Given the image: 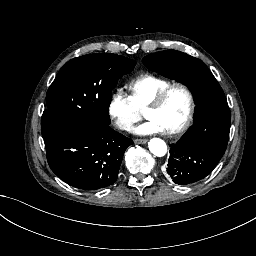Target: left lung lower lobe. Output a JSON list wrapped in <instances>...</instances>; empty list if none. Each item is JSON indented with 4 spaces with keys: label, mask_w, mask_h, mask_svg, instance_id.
<instances>
[{
    "label": "left lung lower lobe",
    "mask_w": 256,
    "mask_h": 256,
    "mask_svg": "<svg viewBox=\"0 0 256 256\" xmlns=\"http://www.w3.org/2000/svg\"><path fill=\"white\" fill-rule=\"evenodd\" d=\"M168 174L171 176V178L176 184H180V185L194 183L206 177V176H194V175H179V174H174L170 172H168Z\"/></svg>",
    "instance_id": "obj_1"
}]
</instances>
